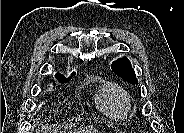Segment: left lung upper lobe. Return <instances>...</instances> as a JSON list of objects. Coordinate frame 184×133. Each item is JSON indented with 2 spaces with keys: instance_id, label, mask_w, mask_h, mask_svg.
<instances>
[{
  "instance_id": "obj_1",
  "label": "left lung upper lobe",
  "mask_w": 184,
  "mask_h": 133,
  "mask_svg": "<svg viewBox=\"0 0 184 133\" xmlns=\"http://www.w3.org/2000/svg\"><path fill=\"white\" fill-rule=\"evenodd\" d=\"M112 70L130 84H138L134 69L128 58L123 57L114 61L111 65Z\"/></svg>"
}]
</instances>
